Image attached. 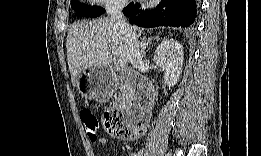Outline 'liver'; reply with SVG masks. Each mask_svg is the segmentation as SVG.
Returning <instances> with one entry per match:
<instances>
[{
	"mask_svg": "<svg viewBox=\"0 0 261 156\" xmlns=\"http://www.w3.org/2000/svg\"><path fill=\"white\" fill-rule=\"evenodd\" d=\"M131 28L138 40L142 30L135 26ZM113 57L130 61L126 39L110 18L78 23L70 28L67 36V60L73 86L77 85L87 69L107 67Z\"/></svg>",
	"mask_w": 261,
	"mask_h": 156,
	"instance_id": "1",
	"label": "liver"
}]
</instances>
